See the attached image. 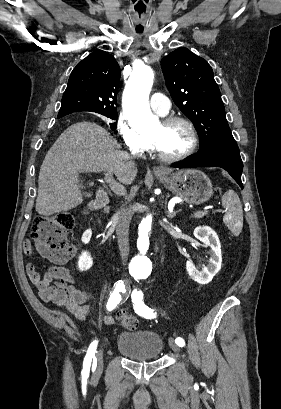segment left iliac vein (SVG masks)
Wrapping results in <instances>:
<instances>
[{"label": "left iliac vein", "instance_id": "obj_1", "mask_svg": "<svg viewBox=\"0 0 281 409\" xmlns=\"http://www.w3.org/2000/svg\"><path fill=\"white\" fill-rule=\"evenodd\" d=\"M169 346L174 352H179L180 348L172 338L169 340Z\"/></svg>", "mask_w": 281, "mask_h": 409}]
</instances>
